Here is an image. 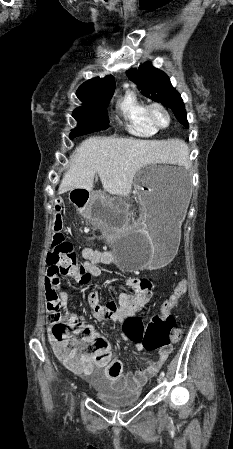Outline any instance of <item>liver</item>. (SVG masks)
<instances>
[{
    "instance_id": "obj_1",
    "label": "liver",
    "mask_w": 233,
    "mask_h": 449,
    "mask_svg": "<svg viewBox=\"0 0 233 449\" xmlns=\"http://www.w3.org/2000/svg\"><path fill=\"white\" fill-rule=\"evenodd\" d=\"M166 140H139L115 137H90L70 156V167L64 174L59 193L73 189H93L98 173L103 188L111 195L128 196L133 179L143 167L171 162L184 150L175 133Z\"/></svg>"
}]
</instances>
